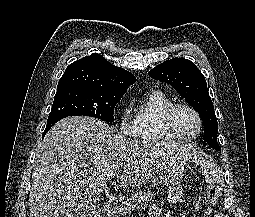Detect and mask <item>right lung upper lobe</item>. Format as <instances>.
Segmentation results:
<instances>
[{"label":"right lung upper lobe","mask_w":255,"mask_h":217,"mask_svg":"<svg viewBox=\"0 0 255 217\" xmlns=\"http://www.w3.org/2000/svg\"><path fill=\"white\" fill-rule=\"evenodd\" d=\"M135 82L132 73L112 65L100 54H92L70 64L57 89L80 87L104 92H125Z\"/></svg>","instance_id":"1"}]
</instances>
